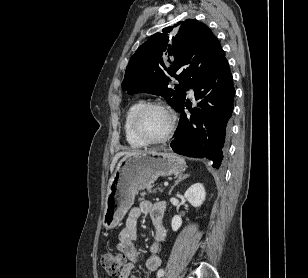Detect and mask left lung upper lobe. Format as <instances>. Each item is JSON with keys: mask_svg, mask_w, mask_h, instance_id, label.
<instances>
[{"mask_svg": "<svg viewBox=\"0 0 308 278\" xmlns=\"http://www.w3.org/2000/svg\"><path fill=\"white\" fill-rule=\"evenodd\" d=\"M224 59L219 40L205 24L192 19L180 21L152 35L137 49L127 66L122 88L128 94L160 95L177 110L185 102V91ZM172 78L180 82L175 90L169 88Z\"/></svg>", "mask_w": 308, "mask_h": 278, "instance_id": "5c2ea615", "label": "left lung upper lobe"}]
</instances>
